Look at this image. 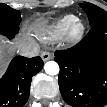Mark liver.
Returning a JSON list of instances; mask_svg holds the SVG:
<instances>
[{
  "instance_id": "1",
  "label": "liver",
  "mask_w": 107,
  "mask_h": 107,
  "mask_svg": "<svg viewBox=\"0 0 107 107\" xmlns=\"http://www.w3.org/2000/svg\"><path fill=\"white\" fill-rule=\"evenodd\" d=\"M46 27V20L40 18L35 21L32 29H35V33L38 34L39 32L43 31L44 28ZM23 43H29V44H34L33 38L28 34H20L16 41L14 42V49L18 50V47L23 44ZM9 48L7 45V42L4 39H1L0 41V54H1V70L3 71L7 64H8V59L7 56L9 54Z\"/></svg>"
}]
</instances>
